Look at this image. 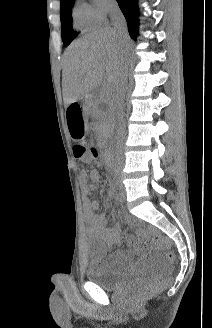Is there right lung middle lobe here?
<instances>
[{"label": "right lung middle lobe", "instance_id": "obj_1", "mask_svg": "<svg viewBox=\"0 0 212 328\" xmlns=\"http://www.w3.org/2000/svg\"><path fill=\"white\" fill-rule=\"evenodd\" d=\"M75 0H60V16H61V30L62 41L65 46H68L77 34L72 28V5Z\"/></svg>", "mask_w": 212, "mask_h": 328}]
</instances>
